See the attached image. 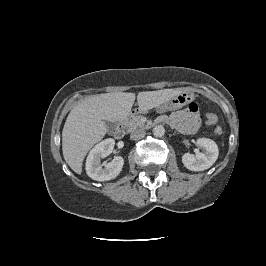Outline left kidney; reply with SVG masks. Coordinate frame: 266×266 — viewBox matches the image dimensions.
Masks as SVG:
<instances>
[{
    "label": "left kidney",
    "instance_id": "5707ae66",
    "mask_svg": "<svg viewBox=\"0 0 266 266\" xmlns=\"http://www.w3.org/2000/svg\"><path fill=\"white\" fill-rule=\"evenodd\" d=\"M199 147L204 148V153H198L195 156L185 153L182 156L184 166L191 171H204L210 168L218 158L219 150L217 144L208 138H199L196 141Z\"/></svg>",
    "mask_w": 266,
    "mask_h": 266
}]
</instances>
